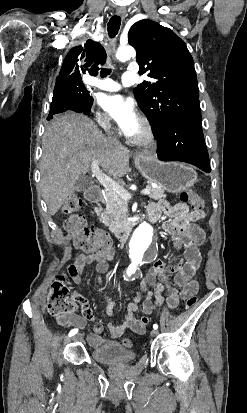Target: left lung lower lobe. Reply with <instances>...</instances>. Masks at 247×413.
Instances as JSON below:
<instances>
[{
  "label": "left lung lower lobe",
  "mask_w": 247,
  "mask_h": 413,
  "mask_svg": "<svg viewBox=\"0 0 247 413\" xmlns=\"http://www.w3.org/2000/svg\"><path fill=\"white\" fill-rule=\"evenodd\" d=\"M157 156L161 161H181L209 173L210 161L201 124L175 120L154 133Z\"/></svg>",
  "instance_id": "0a47b994"
}]
</instances>
